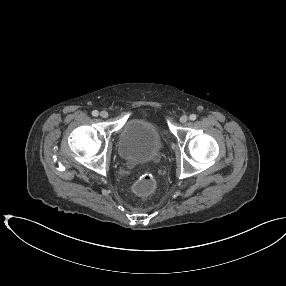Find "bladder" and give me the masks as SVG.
I'll return each mask as SVG.
<instances>
[{
  "mask_svg": "<svg viewBox=\"0 0 286 286\" xmlns=\"http://www.w3.org/2000/svg\"><path fill=\"white\" fill-rule=\"evenodd\" d=\"M118 150L121 158L129 163L158 160L163 141L156 123L149 118H129L121 129Z\"/></svg>",
  "mask_w": 286,
  "mask_h": 286,
  "instance_id": "obj_1",
  "label": "bladder"
}]
</instances>
